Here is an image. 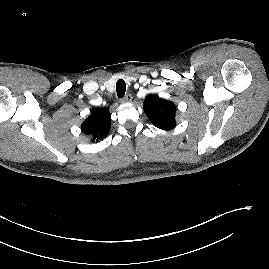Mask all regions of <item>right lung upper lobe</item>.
Segmentation results:
<instances>
[{"mask_svg": "<svg viewBox=\"0 0 269 269\" xmlns=\"http://www.w3.org/2000/svg\"><path fill=\"white\" fill-rule=\"evenodd\" d=\"M110 124L111 114L107 108H93L91 115L82 123L81 130L98 142L108 135Z\"/></svg>", "mask_w": 269, "mask_h": 269, "instance_id": "1", "label": "right lung upper lobe"}]
</instances>
